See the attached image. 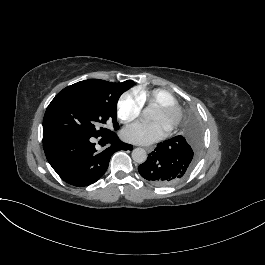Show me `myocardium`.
<instances>
[{"mask_svg":"<svg viewBox=\"0 0 265 265\" xmlns=\"http://www.w3.org/2000/svg\"><path fill=\"white\" fill-rule=\"evenodd\" d=\"M155 109L168 117L167 128L169 130L177 128L183 120V110L177 103H163L156 106Z\"/></svg>","mask_w":265,"mask_h":265,"instance_id":"myocardium-1","label":"myocardium"}]
</instances>
